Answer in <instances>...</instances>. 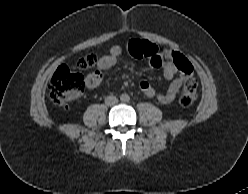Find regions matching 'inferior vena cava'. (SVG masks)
Here are the masks:
<instances>
[{
  "label": "inferior vena cava",
  "mask_w": 248,
  "mask_h": 194,
  "mask_svg": "<svg viewBox=\"0 0 248 194\" xmlns=\"http://www.w3.org/2000/svg\"><path fill=\"white\" fill-rule=\"evenodd\" d=\"M118 103V99L115 96H107L105 98V104L108 106H113Z\"/></svg>",
  "instance_id": "inferior-vena-cava-1"
}]
</instances>
